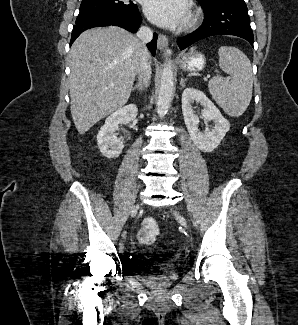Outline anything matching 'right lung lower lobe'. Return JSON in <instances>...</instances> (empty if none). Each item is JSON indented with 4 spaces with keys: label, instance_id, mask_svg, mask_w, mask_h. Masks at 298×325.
Returning a JSON list of instances; mask_svg holds the SVG:
<instances>
[{
    "label": "right lung lower lobe",
    "instance_id": "obj_1",
    "mask_svg": "<svg viewBox=\"0 0 298 325\" xmlns=\"http://www.w3.org/2000/svg\"><path fill=\"white\" fill-rule=\"evenodd\" d=\"M142 22V18L137 10H111V11H103L97 13H89L84 15H78L75 25L72 31L71 42L72 44L74 40L82 33L83 31L97 27V26H120L132 33H135L140 24ZM156 45H157V34H154L153 40L147 44L148 49L155 56L156 53Z\"/></svg>",
    "mask_w": 298,
    "mask_h": 325
}]
</instances>
